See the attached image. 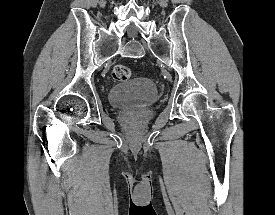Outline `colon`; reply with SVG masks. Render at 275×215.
<instances>
[{
    "label": "colon",
    "mask_w": 275,
    "mask_h": 215,
    "mask_svg": "<svg viewBox=\"0 0 275 215\" xmlns=\"http://www.w3.org/2000/svg\"><path fill=\"white\" fill-rule=\"evenodd\" d=\"M131 70L124 65H116L112 70V77L117 82H124L131 78Z\"/></svg>",
    "instance_id": "1"
}]
</instances>
